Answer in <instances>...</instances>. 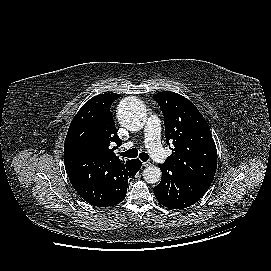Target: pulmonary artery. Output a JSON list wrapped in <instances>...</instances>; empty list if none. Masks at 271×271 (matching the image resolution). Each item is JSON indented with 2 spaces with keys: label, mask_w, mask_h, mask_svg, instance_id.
Wrapping results in <instances>:
<instances>
[{
  "label": "pulmonary artery",
  "mask_w": 271,
  "mask_h": 271,
  "mask_svg": "<svg viewBox=\"0 0 271 271\" xmlns=\"http://www.w3.org/2000/svg\"><path fill=\"white\" fill-rule=\"evenodd\" d=\"M133 145L128 142L124 145L129 148ZM145 145L152 158L159 163L167 159V153L160 143V121L156 115L149 116L145 126Z\"/></svg>",
  "instance_id": "1"
}]
</instances>
